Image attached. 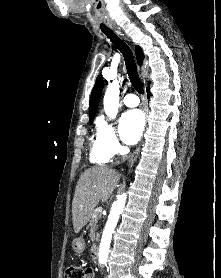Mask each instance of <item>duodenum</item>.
I'll return each mask as SVG.
<instances>
[{"label": "duodenum", "instance_id": "410a0bca", "mask_svg": "<svg viewBox=\"0 0 221 278\" xmlns=\"http://www.w3.org/2000/svg\"><path fill=\"white\" fill-rule=\"evenodd\" d=\"M98 252H99L98 246L96 244L93 245L91 248V256L93 259H96L98 257Z\"/></svg>", "mask_w": 221, "mask_h": 278}]
</instances>
